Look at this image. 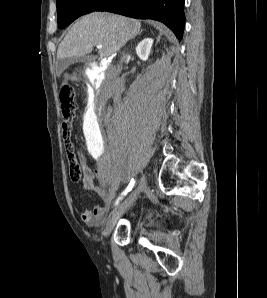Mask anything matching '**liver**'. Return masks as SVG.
I'll return each mask as SVG.
<instances>
[{"label": "liver", "mask_w": 267, "mask_h": 298, "mask_svg": "<svg viewBox=\"0 0 267 298\" xmlns=\"http://www.w3.org/2000/svg\"><path fill=\"white\" fill-rule=\"evenodd\" d=\"M141 29L140 21L106 12H93L81 17L60 43L57 59L78 58L102 45L100 57H110Z\"/></svg>", "instance_id": "6515ba94"}]
</instances>
